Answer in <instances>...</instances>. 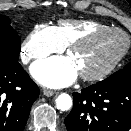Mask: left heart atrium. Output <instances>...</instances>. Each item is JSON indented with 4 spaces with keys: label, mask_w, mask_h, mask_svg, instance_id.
Returning a JSON list of instances; mask_svg holds the SVG:
<instances>
[{
    "label": "left heart atrium",
    "mask_w": 131,
    "mask_h": 131,
    "mask_svg": "<svg viewBox=\"0 0 131 131\" xmlns=\"http://www.w3.org/2000/svg\"><path fill=\"white\" fill-rule=\"evenodd\" d=\"M31 72L36 80L50 87L69 85L78 75V69L69 56L52 57L35 63Z\"/></svg>",
    "instance_id": "39dd6f15"
}]
</instances>
